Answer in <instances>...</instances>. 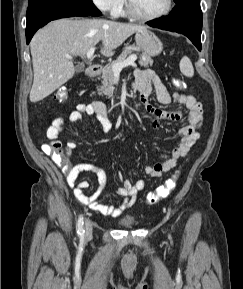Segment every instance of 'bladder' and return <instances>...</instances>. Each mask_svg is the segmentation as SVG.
<instances>
[{
    "label": "bladder",
    "mask_w": 243,
    "mask_h": 289,
    "mask_svg": "<svg viewBox=\"0 0 243 289\" xmlns=\"http://www.w3.org/2000/svg\"><path fill=\"white\" fill-rule=\"evenodd\" d=\"M119 224L123 227H131L134 224V218L132 216H125L119 220Z\"/></svg>",
    "instance_id": "bladder-1"
}]
</instances>
